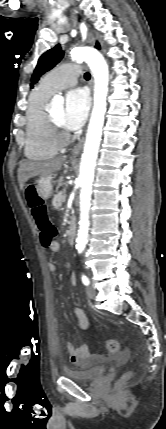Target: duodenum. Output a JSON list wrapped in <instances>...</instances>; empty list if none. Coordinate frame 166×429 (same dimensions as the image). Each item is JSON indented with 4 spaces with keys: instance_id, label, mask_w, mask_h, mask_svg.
Instances as JSON below:
<instances>
[{
    "instance_id": "1",
    "label": "duodenum",
    "mask_w": 166,
    "mask_h": 429,
    "mask_svg": "<svg viewBox=\"0 0 166 429\" xmlns=\"http://www.w3.org/2000/svg\"><path fill=\"white\" fill-rule=\"evenodd\" d=\"M76 234V226L75 221L73 219L70 220L69 228L67 231V240L70 245L74 244Z\"/></svg>"
}]
</instances>
